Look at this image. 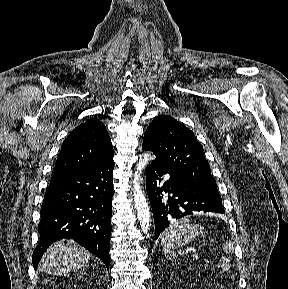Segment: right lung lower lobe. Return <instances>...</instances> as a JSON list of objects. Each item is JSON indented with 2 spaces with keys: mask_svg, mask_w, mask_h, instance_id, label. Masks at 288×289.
Segmentation results:
<instances>
[{
  "mask_svg": "<svg viewBox=\"0 0 288 289\" xmlns=\"http://www.w3.org/2000/svg\"><path fill=\"white\" fill-rule=\"evenodd\" d=\"M113 156L91 168L53 174L41 206L37 265L55 240L74 239L110 265Z\"/></svg>",
  "mask_w": 288,
  "mask_h": 289,
  "instance_id": "1",
  "label": "right lung lower lobe"
}]
</instances>
